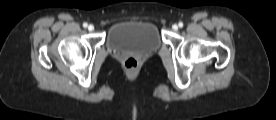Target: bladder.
<instances>
[{"instance_id":"obj_1","label":"bladder","mask_w":276,"mask_h":120,"mask_svg":"<svg viewBox=\"0 0 276 120\" xmlns=\"http://www.w3.org/2000/svg\"><path fill=\"white\" fill-rule=\"evenodd\" d=\"M106 45L115 51L152 52L160 47L161 38L152 22L123 21L110 28Z\"/></svg>"}]
</instances>
